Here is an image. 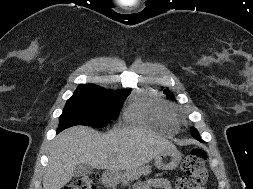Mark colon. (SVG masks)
Wrapping results in <instances>:
<instances>
[{
    "label": "colon",
    "mask_w": 253,
    "mask_h": 189,
    "mask_svg": "<svg viewBox=\"0 0 253 189\" xmlns=\"http://www.w3.org/2000/svg\"><path fill=\"white\" fill-rule=\"evenodd\" d=\"M206 160L207 153L205 150L201 148L191 149L182 161L181 168L184 175L177 180V189H195L197 186L203 185L207 180ZM97 179L96 173H88L73 179L64 189H97Z\"/></svg>",
    "instance_id": "obj_1"
}]
</instances>
